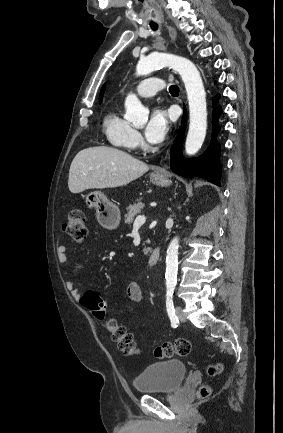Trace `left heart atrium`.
<instances>
[{"label":"left heart atrium","instance_id":"39dd6f15","mask_svg":"<svg viewBox=\"0 0 283 433\" xmlns=\"http://www.w3.org/2000/svg\"><path fill=\"white\" fill-rule=\"evenodd\" d=\"M170 130V120L167 111L160 105L153 108L145 129L147 142L152 146L161 144Z\"/></svg>","mask_w":283,"mask_h":433}]
</instances>
